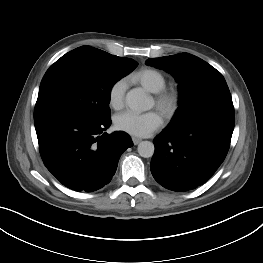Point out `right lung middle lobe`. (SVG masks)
<instances>
[{
	"mask_svg": "<svg viewBox=\"0 0 263 263\" xmlns=\"http://www.w3.org/2000/svg\"><path fill=\"white\" fill-rule=\"evenodd\" d=\"M137 65L133 59L110 55L90 46L66 53L47 70L41 81L34 121L56 114L109 118L113 85Z\"/></svg>",
	"mask_w": 263,
	"mask_h": 263,
	"instance_id": "dd1d6c3e",
	"label": "right lung middle lobe"
}]
</instances>
